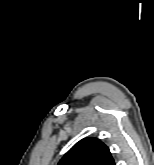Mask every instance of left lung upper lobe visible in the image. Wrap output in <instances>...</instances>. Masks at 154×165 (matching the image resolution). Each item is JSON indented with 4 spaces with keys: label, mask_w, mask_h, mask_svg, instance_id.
<instances>
[{
    "label": "left lung upper lobe",
    "mask_w": 154,
    "mask_h": 165,
    "mask_svg": "<svg viewBox=\"0 0 154 165\" xmlns=\"http://www.w3.org/2000/svg\"><path fill=\"white\" fill-rule=\"evenodd\" d=\"M58 165H115L108 147L96 138L76 143Z\"/></svg>",
    "instance_id": "1"
}]
</instances>
